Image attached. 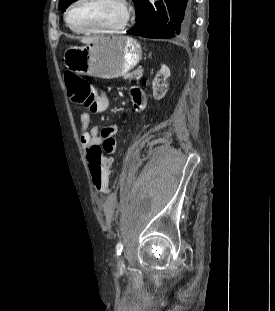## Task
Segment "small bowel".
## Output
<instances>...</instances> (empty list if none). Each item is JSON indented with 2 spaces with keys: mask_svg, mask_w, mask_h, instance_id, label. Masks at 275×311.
Returning a JSON list of instances; mask_svg holds the SVG:
<instances>
[{
  "mask_svg": "<svg viewBox=\"0 0 275 311\" xmlns=\"http://www.w3.org/2000/svg\"><path fill=\"white\" fill-rule=\"evenodd\" d=\"M130 98L132 100L135 110H140L144 104V93L139 87H132L130 89ZM87 110L80 115V142L84 151L90 149L92 145H101L105 152L113 154L116 152L117 144L115 135L118 127L115 124H109L104 127L92 126L90 127L91 113H100L107 108V101L104 96L94 99L88 105Z\"/></svg>",
  "mask_w": 275,
  "mask_h": 311,
  "instance_id": "c3829d8e",
  "label": "small bowel"
}]
</instances>
